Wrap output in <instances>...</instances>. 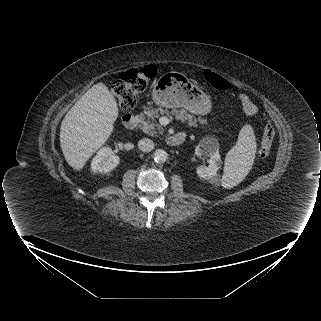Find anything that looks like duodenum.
Segmentation results:
<instances>
[{"label":"duodenum","instance_id":"1","mask_svg":"<svg viewBox=\"0 0 321 321\" xmlns=\"http://www.w3.org/2000/svg\"><path fill=\"white\" fill-rule=\"evenodd\" d=\"M123 125L126 129L132 130L136 127L138 119L136 114H126L122 118ZM185 137L181 134L172 135L167 139V142L171 146H178L183 143Z\"/></svg>","mask_w":321,"mask_h":321}]
</instances>
